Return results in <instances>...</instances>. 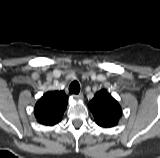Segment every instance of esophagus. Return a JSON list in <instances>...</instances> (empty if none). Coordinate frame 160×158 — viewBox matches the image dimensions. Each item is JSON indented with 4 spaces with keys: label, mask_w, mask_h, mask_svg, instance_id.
<instances>
[{
    "label": "esophagus",
    "mask_w": 160,
    "mask_h": 158,
    "mask_svg": "<svg viewBox=\"0 0 160 158\" xmlns=\"http://www.w3.org/2000/svg\"><path fill=\"white\" fill-rule=\"evenodd\" d=\"M74 99L76 100H81L83 98V94L79 93V94H73Z\"/></svg>",
    "instance_id": "34e87169"
}]
</instances>
